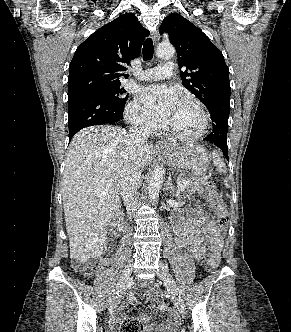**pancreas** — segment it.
I'll return each mask as SVG.
<instances>
[{"instance_id":"1","label":"pancreas","mask_w":291,"mask_h":332,"mask_svg":"<svg viewBox=\"0 0 291 332\" xmlns=\"http://www.w3.org/2000/svg\"><path fill=\"white\" fill-rule=\"evenodd\" d=\"M188 181V184L186 186V190L189 192H195L199 191L202 189V186L206 185L208 182V178L206 177H195V178H190V179H184L182 178L180 180V183Z\"/></svg>"}]
</instances>
